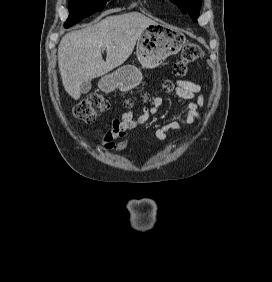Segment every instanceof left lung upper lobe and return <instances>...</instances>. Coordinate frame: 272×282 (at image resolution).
<instances>
[{"label":"left lung upper lobe","instance_id":"1","mask_svg":"<svg viewBox=\"0 0 272 282\" xmlns=\"http://www.w3.org/2000/svg\"><path fill=\"white\" fill-rule=\"evenodd\" d=\"M175 3L183 13H189L191 18L196 22L199 16L201 0H170Z\"/></svg>","mask_w":272,"mask_h":282}]
</instances>
